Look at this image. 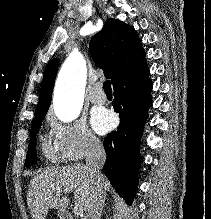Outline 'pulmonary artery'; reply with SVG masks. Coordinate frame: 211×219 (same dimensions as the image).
Here are the masks:
<instances>
[{"mask_svg":"<svg viewBox=\"0 0 211 219\" xmlns=\"http://www.w3.org/2000/svg\"><path fill=\"white\" fill-rule=\"evenodd\" d=\"M89 100L96 105H101L106 102V95L99 89V84H96L89 93Z\"/></svg>","mask_w":211,"mask_h":219,"instance_id":"e3ab8cb5","label":"pulmonary artery"}]
</instances>
